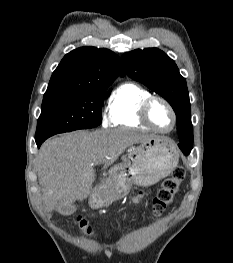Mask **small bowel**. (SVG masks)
<instances>
[{
  "mask_svg": "<svg viewBox=\"0 0 233 263\" xmlns=\"http://www.w3.org/2000/svg\"><path fill=\"white\" fill-rule=\"evenodd\" d=\"M142 198V193H139L137 196L134 197V201L138 202Z\"/></svg>",
  "mask_w": 233,
  "mask_h": 263,
  "instance_id": "small-bowel-1",
  "label": "small bowel"
}]
</instances>
